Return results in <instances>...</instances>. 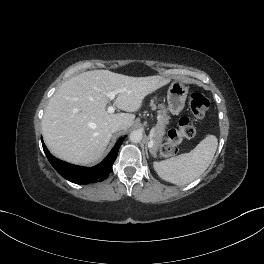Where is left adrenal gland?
Segmentation results:
<instances>
[{
  "instance_id": "1",
  "label": "left adrenal gland",
  "mask_w": 264,
  "mask_h": 264,
  "mask_svg": "<svg viewBox=\"0 0 264 264\" xmlns=\"http://www.w3.org/2000/svg\"><path fill=\"white\" fill-rule=\"evenodd\" d=\"M146 154L148 155V152H147V147H146Z\"/></svg>"
}]
</instances>
